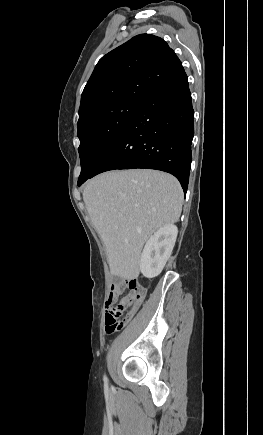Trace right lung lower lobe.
<instances>
[{
  "instance_id": "right-lung-lower-lobe-1",
  "label": "right lung lower lobe",
  "mask_w": 263,
  "mask_h": 435,
  "mask_svg": "<svg viewBox=\"0 0 263 435\" xmlns=\"http://www.w3.org/2000/svg\"><path fill=\"white\" fill-rule=\"evenodd\" d=\"M193 136L194 111L188 78L182 69L143 102L89 178L115 169H156L174 175L186 191Z\"/></svg>"
}]
</instances>
